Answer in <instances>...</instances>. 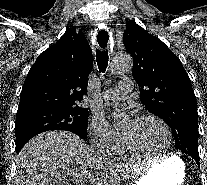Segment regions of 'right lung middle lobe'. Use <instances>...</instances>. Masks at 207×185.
<instances>
[{
	"label": "right lung middle lobe",
	"mask_w": 207,
	"mask_h": 185,
	"mask_svg": "<svg viewBox=\"0 0 207 185\" xmlns=\"http://www.w3.org/2000/svg\"><path fill=\"white\" fill-rule=\"evenodd\" d=\"M88 110L34 107L17 111L16 152L35 135L49 130H65L82 139L87 137Z\"/></svg>",
	"instance_id": "right-lung-middle-lobe-1"
}]
</instances>
